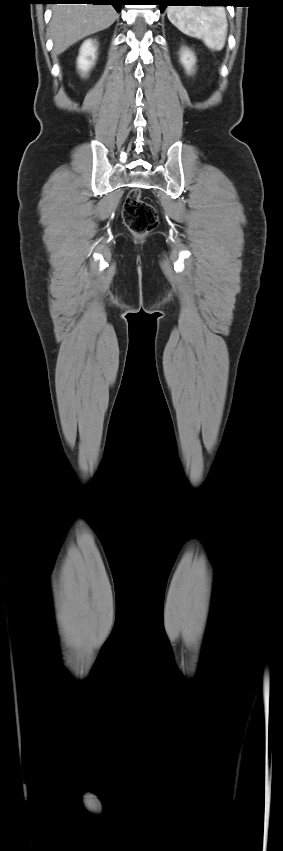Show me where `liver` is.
<instances>
[{
  "mask_svg": "<svg viewBox=\"0 0 283 851\" xmlns=\"http://www.w3.org/2000/svg\"><path fill=\"white\" fill-rule=\"evenodd\" d=\"M50 35L59 55L77 41L107 29L118 17L111 5H54Z\"/></svg>",
  "mask_w": 283,
  "mask_h": 851,
  "instance_id": "obj_1",
  "label": "liver"
}]
</instances>
